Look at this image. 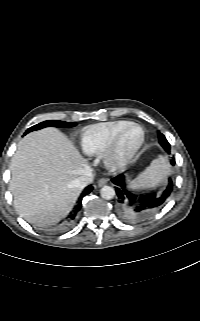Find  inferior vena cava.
I'll return each instance as SVG.
<instances>
[{
    "label": "inferior vena cava",
    "instance_id": "inferior-vena-cava-1",
    "mask_svg": "<svg viewBox=\"0 0 200 321\" xmlns=\"http://www.w3.org/2000/svg\"><path fill=\"white\" fill-rule=\"evenodd\" d=\"M94 173L91 168H87L84 174L75 180V185L81 189L92 183Z\"/></svg>",
    "mask_w": 200,
    "mask_h": 321
}]
</instances>
